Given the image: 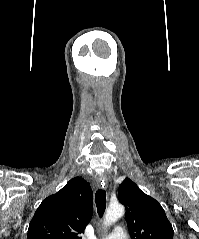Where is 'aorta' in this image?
I'll use <instances>...</instances> for the list:
<instances>
[{
    "mask_svg": "<svg viewBox=\"0 0 199 239\" xmlns=\"http://www.w3.org/2000/svg\"><path fill=\"white\" fill-rule=\"evenodd\" d=\"M124 211L125 209L123 205L118 203L111 204L106 211L104 225L107 227L115 223L118 219H120L124 215Z\"/></svg>",
    "mask_w": 199,
    "mask_h": 239,
    "instance_id": "aorta-1",
    "label": "aorta"
}]
</instances>
